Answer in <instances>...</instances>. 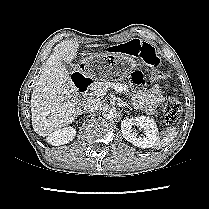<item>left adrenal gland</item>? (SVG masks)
I'll return each mask as SVG.
<instances>
[{
  "mask_svg": "<svg viewBox=\"0 0 209 209\" xmlns=\"http://www.w3.org/2000/svg\"><path fill=\"white\" fill-rule=\"evenodd\" d=\"M120 105H121L122 107H123V106H126V107L129 108V106H128L126 103H124V102H122Z\"/></svg>",
  "mask_w": 209,
  "mask_h": 209,
  "instance_id": "obj_1",
  "label": "left adrenal gland"
}]
</instances>
